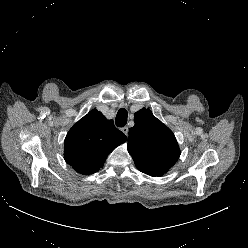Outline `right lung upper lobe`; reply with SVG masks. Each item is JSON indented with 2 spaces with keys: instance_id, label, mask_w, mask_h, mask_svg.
Wrapping results in <instances>:
<instances>
[{
  "instance_id": "obj_1",
  "label": "right lung upper lobe",
  "mask_w": 248,
  "mask_h": 248,
  "mask_svg": "<svg viewBox=\"0 0 248 248\" xmlns=\"http://www.w3.org/2000/svg\"><path fill=\"white\" fill-rule=\"evenodd\" d=\"M126 140L125 134L114 126L112 120L93 109L69 130L64 143V159L77 172L93 174Z\"/></svg>"
}]
</instances>
